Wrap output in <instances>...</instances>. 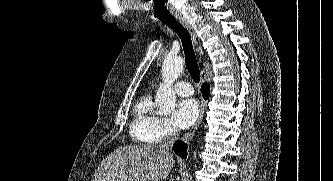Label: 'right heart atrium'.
Wrapping results in <instances>:
<instances>
[{
  "label": "right heart atrium",
  "instance_id": "d8ad5b80",
  "mask_svg": "<svg viewBox=\"0 0 333 181\" xmlns=\"http://www.w3.org/2000/svg\"><path fill=\"white\" fill-rule=\"evenodd\" d=\"M156 132L159 139L161 140L175 136L177 133V129L170 119L160 118L157 123Z\"/></svg>",
  "mask_w": 333,
  "mask_h": 181
}]
</instances>
